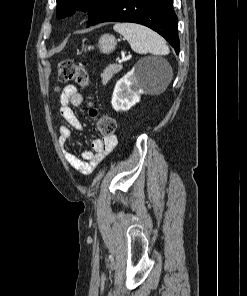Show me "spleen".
<instances>
[{
  "label": "spleen",
  "instance_id": "3e777b00",
  "mask_svg": "<svg viewBox=\"0 0 247 296\" xmlns=\"http://www.w3.org/2000/svg\"><path fill=\"white\" fill-rule=\"evenodd\" d=\"M113 29L123 35L131 49L139 54L166 55L170 52L165 40L151 29L135 23H116ZM172 72L170 71L169 80Z\"/></svg>",
  "mask_w": 247,
  "mask_h": 296
}]
</instances>
